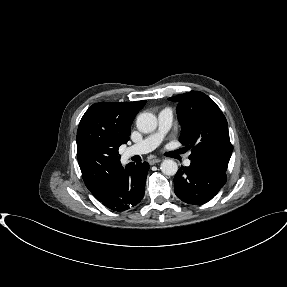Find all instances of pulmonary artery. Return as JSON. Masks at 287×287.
<instances>
[{"instance_id":"pulmonary-artery-1","label":"pulmonary artery","mask_w":287,"mask_h":287,"mask_svg":"<svg viewBox=\"0 0 287 287\" xmlns=\"http://www.w3.org/2000/svg\"><path fill=\"white\" fill-rule=\"evenodd\" d=\"M173 120V112L170 108L162 109L158 114V129L155 133L149 135L142 141L128 147L125 150V157L133 155H141L148 153L155 149L161 142L163 136L168 132ZM191 161L189 159L184 161L185 166H189Z\"/></svg>"}]
</instances>
